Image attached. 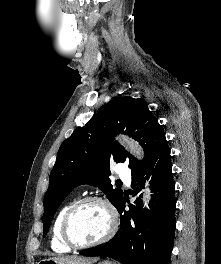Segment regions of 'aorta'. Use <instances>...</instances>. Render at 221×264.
<instances>
[{
    "label": "aorta",
    "mask_w": 221,
    "mask_h": 264,
    "mask_svg": "<svg viewBox=\"0 0 221 264\" xmlns=\"http://www.w3.org/2000/svg\"><path fill=\"white\" fill-rule=\"evenodd\" d=\"M128 145L131 149V152L134 154V155H139L140 153V150L137 148V146L133 143V142H129L128 141Z\"/></svg>",
    "instance_id": "aorta-1"
}]
</instances>
